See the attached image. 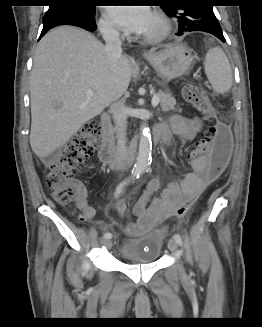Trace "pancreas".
I'll use <instances>...</instances> for the list:
<instances>
[{"instance_id":"1","label":"pancreas","mask_w":262,"mask_h":327,"mask_svg":"<svg viewBox=\"0 0 262 327\" xmlns=\"http://www.w3.org/2000/svg\"><path fill=\"white\" fill-rule=\"evenodd\" d=\"M155 95L160 99V107L163 112L175 109L176 99L171 95V93L159 91Z\"/></svg>"}]
</instances>
